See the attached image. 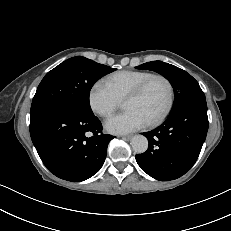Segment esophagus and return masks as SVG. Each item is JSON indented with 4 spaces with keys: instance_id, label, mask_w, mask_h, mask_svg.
<instances>
[{
    "instance_id": "esophagus-1",
    "label": "esophagus",
    "mask_w": 231,
    "mask_h": 231,
    "mask_svg": "<svg viewBox=\"0 0 231 231\" xmlns=\"http://www.w3.org/2000/svg\"><path fill=\"white\" fill-rule=\"evenodd\" d=\"M121 137H122V139H125V140H130L132 138L131 135H123Z\"/></svg>"
}]
</instances>
